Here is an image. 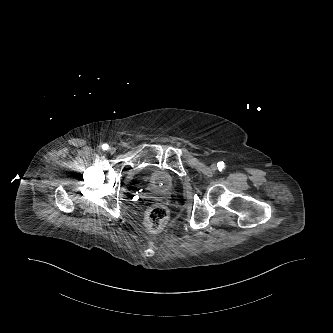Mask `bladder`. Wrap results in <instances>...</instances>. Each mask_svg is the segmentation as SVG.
I'll use <instances>...</instances> for the list:
<instances>
[{"label": "bladder", "mask_w": 333, "mask_h": 333, "mask_svg": "<svg viewBox=\"0 0 333 333\" xmlns=\"http://www.w3.org/2000/svg\"><path fill=\"white\" fill-rule=\"evenodd\" d=\"M148 183L150 188L159 194L171 193L176 185L173 176L162 168H152L149 170Z\"/></svg>", "instance_id": "1"}]
</instances>
